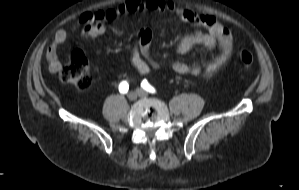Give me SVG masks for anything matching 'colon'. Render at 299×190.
<instances>
[{
	"instance_id": "1",
	"label": "colon",
	"mask_w": 299,
	"mask_h": 190,
	"mask_svg": "<svg viewBox=\"0 0 299 190\" xmlns=\"http://www.w3.org/2000/svg\"><path fill=\"white\" fill-rule=\"evenodd\" d=\"M238 57L244 67H250L253 63V54L247 48L241 49ZM59 76L62 82L72 85L79 91L88 89L92 79L85 53L79 49L75 50L70 61L60 70Z\"/></svg>"
}]
</instances>
